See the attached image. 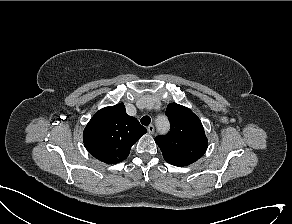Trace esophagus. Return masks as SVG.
Masks as SVG:
<instances>
[{"instance_id":"1","label":"esophagus","mask_w":292,"mask_h":224,"mask_svg":"<svg viewBox=\"0 0 292 224\" xmlns=\"http://www.w3.org/2000/svg\"><path fill=\"white\" fill-rule=\"evenodd\" d=\"M147 131H148L149 134H154V131H155L154 126L153 125H149L147 127Z\"/></svg>"}]
</instances>
